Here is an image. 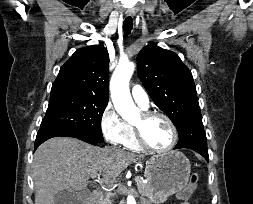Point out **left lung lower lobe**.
Listing matches in <instances>:
<instances>
[{
  "label": "left lung lower lobe",
  "mask_w": 253,
  "mask_h": 204,
  "mask_svg": "<svg viewBox=\"0 0 253 204\" xmlns=\"http://www.w3.org/2000/svg\"><path fill=\"white\" fill-rule=\"evenodd\" d=\"M188 148L201 154L208 161L207 138L204 131L202 117L189 121L179 134V141L174 149Z\"/></svg>",
  "instance_id": "0a47b994"
}]
</instances>
